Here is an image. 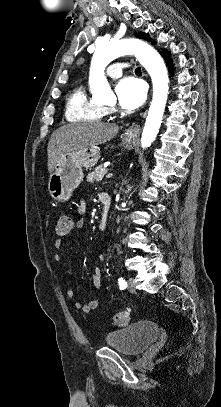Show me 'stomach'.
Returning <instances> with one entry per match:
<instances>
[{"label": "stomach", "mask_w": 221, "mask_h": 407, "mask_svg": "<svg viewBox=\"0 0 221 407\" xmlns=\"http://www.w3.org/2000/svg\"><path fill=\"white\" fill-rule=\"evenodd\" d=\"M136 135L126 132L123 145L132 148ZM100 158V148L86 147L64 154L55 164L50 174L48 191L59 202H66L83 180V168L95 166Z\"/></svg>", "instance_id": "stomach-1"}]
</instances>
